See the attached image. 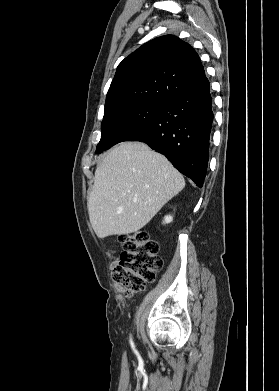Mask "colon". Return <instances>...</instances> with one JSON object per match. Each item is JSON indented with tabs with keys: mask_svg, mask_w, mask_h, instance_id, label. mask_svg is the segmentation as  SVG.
Segmentation results:
<instances>
[{
	"mask_svg": "<svg viewBox=\"0 0 279 391\" xmlns=\"http://www.w3.org/2000/svg\"><path fill=\"white\" fill-rule=\"evenodd\" d=\"M119 241L122 253L112 270V279L117 290L129 297L154 282L163 260L158 254V243L146 231L122 235Z\"/></svg>",
	"mask_w": 279,
	"mask_h": 391,
	"instance_id": "1",
	"label": "colon"
}]
</instances>
